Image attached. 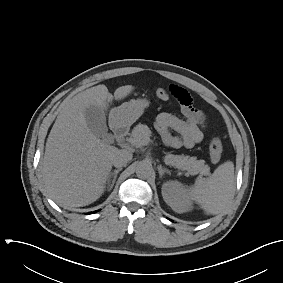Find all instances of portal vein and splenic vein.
<instances>
[{"mask_svg":"<svg viewBox=\"0 0 283 283\" xmlns=\"http://www.w3.org/2000/svg\"><path fill=\"white\" fill-rule=\"evenodd\" d=\"M139 145H147L150 142V138L149 137H145L139 141H137Z\"/></svg>","mask_w":283,"mask_h":283,"instance_id":"portal-vein-and-splenic-vein-1","label":"portal vein and splenic vein"}]
</instances>
